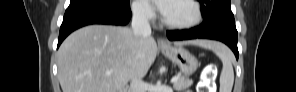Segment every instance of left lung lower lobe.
Segmentation results:
<instances>
[{"instance_id":"obj_1","label":"left lung lower lobe","mask_w":296,"mask_h":92,"mask_svg":"<svg viewBox=\"0 0 296 92\" xmlns=\"http://www.w3.org/2000/svg\"><path fill=\"white\" fill-rule=\"evenodd\" d=\"M167 37L169 40L174 41L196 38L218 40L227 44L234 52L237 59L239 56L235 21H222L210 29H204L198 26L189 30L167 31Z\"/></svg>"}]
</instances>
